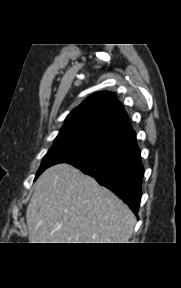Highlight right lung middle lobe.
I'll return each mask as SVG.
<instances>
[{
  "label": "right lung middle lobe",
  "instance_id": "obj_1",
  "mask_svg": "<svg viewBox=\"0 0 181 288\" xmlns=\"http://www.w3.org/2000/svg\"><path fill=\"white\" fill-rule=\"evenodd\" d=\"M113 155L109 150L80 139L57 140L44 156L35 179L48 167L76 160L102 158Z\"/></svg>",
  "mask_w": 181,
  "mask_h": 288
}]
</instances>
